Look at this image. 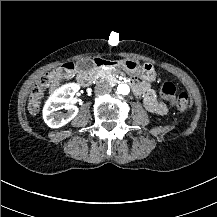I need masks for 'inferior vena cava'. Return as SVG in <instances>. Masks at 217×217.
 Returning a JSON list of instances; mask_svg holds the SVG:
<instances>
[{
  "label": "inferior vena cava",
  "mask_w": 217,
  "mask_h": 217,
  "mask_svg": "<svg viewBox=\"0 0 217 217\" xmlns=\"http://www.w3.org/2000/svg\"><path fill=\"white\" fill-rule=\"evenodd\" d=\"M95 91L99 94H107L111 92V87L107 83H100L95 86Z\"/></svg>",
  "instance_id": "inferior-vena-cava-1"
}]
</instances>
